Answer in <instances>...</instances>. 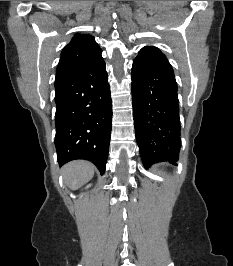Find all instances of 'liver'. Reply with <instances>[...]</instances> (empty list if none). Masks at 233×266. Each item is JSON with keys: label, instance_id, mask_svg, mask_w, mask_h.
<instances>
[{"label": "liver", "instance_id": "liver-1", "mask_svg": "<svg viewBox=\"0 0 233 266\" xmlns=\"http://www.w3.org/2000/svg\"><path fill=\"white\" fill-rule=\"evenodd\" d=\"M62 174L66 185L75 190L94 176V165L88 161H72L62 168Z\"/></svg>", "mask_w": 233, "mask_h": 266}]
</instances>
